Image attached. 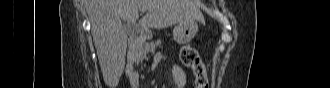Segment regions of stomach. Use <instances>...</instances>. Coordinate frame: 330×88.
I'll list each match as a JSON object with an SVG mask.
<instances>
[{
  "mask_svg": "<svg viewBox=\"0 0 330 88\" xmlns=\"http://www.w3.org/2000/svg\"><path fill=\"white\" fill-rule=\"evenodd\" d=\"M198 31V24L195 21L178 23L173 29V37L179 44L189 43Z\"/></svg>",
  "mask_w": 330,
  "mask_h": 88,
  "instance_id": "obj_1",
  "label": "stomach"
}]
</instances>
